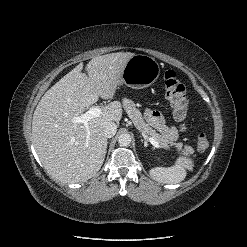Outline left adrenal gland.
<instances>
[{
	"mask_svg": "<svg viewBox=\"0 0 247 247\" xmlns=\"http://www.w3.org/2000/svg\"><path fill=\"white\" fill-rule=\"evenodd\" d=\"M141 142H143V141H141ZM144 147H147V143H144Z\"/></svg>",
	"mask_w": 247,
	"mask_h": 247,
	"instance_id": "obj_1",
	"label": "left adrenal gland"
}]
</instances>
